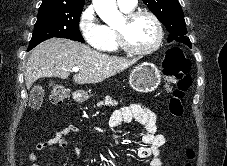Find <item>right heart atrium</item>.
Masks as SVG:
<instances>
[{"mask_svg": "<svg viewBox=\"0 0 227 166\" xmlns=\"http://www.w3.org/2000/svg\"><path fill=\"white\" fill-rule=\"evenodd\" d=\"M78 26L81 35L88 44L96 49L105 50L107 41L105 26L100 22L92 5L82 11Z\"/></svg>", "mask_w": 227, "mask_h": 166, "instance_id": "obj_1", "label": "right heart atrium"}]
</instances>
